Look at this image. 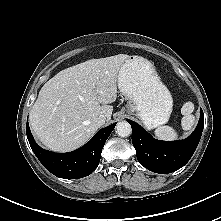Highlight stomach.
Returning <instances> with one entry per match:
<instances>
[{
	"instance_id": "0dacf381",
	"label": "stomach",
	"mask_w": 221,
	"mask_h": 221,
	"mask_svg": "<svg viewBox=\"0 0 221 221\" xmlns=\"http://www.w3.org/2000/svg\"><path fill=\"white\" fill-rule=\"evenodd\" d=\"M118 88L128 102L126 111L152 129L168 122L173 99L154 65L140 56H130L118 74Z\"/></svg>"
}]
</instances>
